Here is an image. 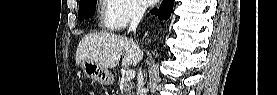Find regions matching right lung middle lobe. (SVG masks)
I'll return each mask as SVG.
<instances>
[{
	"label": "right lung middle lobe",
	"mask_w": 277,
	"mask_h": 95,
	"mask_svg": "<svg viewBox=\"0 0 277 95\" xmlns=\"http://www.w3.org/2000/svg\"><path fill=\"white\" fill-rule=\"evenodd\" d=\"M97 0H83L79 4V20L82 21L92 16L95 12Z\"/></svg>",
	"instance_id": "1"
}]
</instances>
